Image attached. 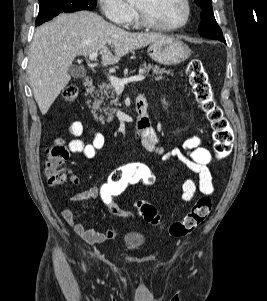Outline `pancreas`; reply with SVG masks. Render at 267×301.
<instances>
[{
  "mask_svg": "<svg viewBox=\"0 0 267 301\" xmlns=\"http://www.w3.org/2000/svg\"><path fill=\"white\" fill-rule=\"evenodd\" d=\"M142 73H148L150 70H152L153 75H156V80L162 79L165 75H173L170 70H166L165 68H161L158 65H151L143 63L140 68ZM111 94V96H109ZM95 95L98 97L94 98V102L91 106L92 112L94 114V117L96 119H99V121L104 124L105 122H111L113 120V114L116 112V108H112L111 106H117V100L115 99V90L111 83H101L99 85V90L95 92ZM111 97L110 105L106 106V101ZM104 105V107H101V105ZM97 111H100L101 113H104L107 118H105L102 114L98 117Z\"/></svg>",
  "mask_w": 267,
  "mask_h": 301,
  "instance_id": "pancreas-1",
  "label": "pancreas"
}]
</instances>
